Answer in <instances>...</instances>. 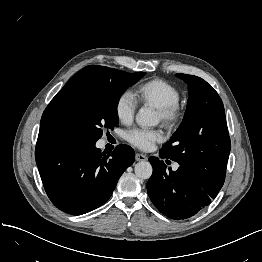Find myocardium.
Masks as SVG:
<instances>
[{
  "label": "myocardium",
  "instance_id": "f54148a6",
  "mask_svg": "<svg viewBox=\"0 0 262 262\" xmlns=\"http://www.w3.org/2000/svg\"><path fill=\"white\" fill-rule=\"evenodd\" d=\"M157 110L161 122L168 129H174L178 127L183 121V107L178 102L157 108Z\"/></svg>",
  "mask_w": 262,
  "mask_h": 262
}]
</instances>
